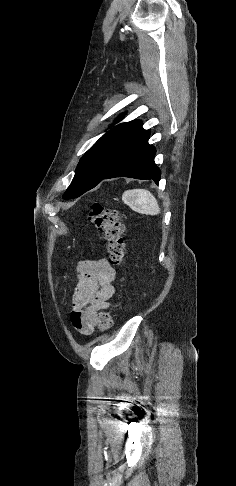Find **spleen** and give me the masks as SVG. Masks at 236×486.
Instances as JSON below:
<instances>
[{
  "label": "spleen",
  "instance_id": "1",
  "mask_svg": "<svg viewBox=\"0 0 236 486\" xmlns=\"http://www.w3.org/2000/svg\"><path fill=\"white\" fill-rule=\"evenodd\" d=\"M122 200L132 210L146 215H157L160 207L153 194L146 189H133L125 191Z\"/></svg>",
  "mask_w": 236,
  "mask_h": 486
}]
</instances>
